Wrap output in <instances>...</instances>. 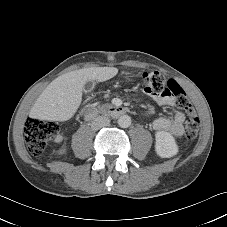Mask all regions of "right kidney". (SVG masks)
Instances as JSON below:
<instances>
[{"instance_id": "obj_1", "label": "right kidney", "mask_w": 227, "mask_h": 227, "mask_svg": "<svg viewBox=\"0 0 227 227\" xmlns=\"http://www.w3.org/2000/svg\"><path fill=\"white\" fill-rule=\"evenodd\" d=\"M65 152H66V149L63 148V149H61V150L59 151V154H64Z\"/></svg>"}]
</instances>
